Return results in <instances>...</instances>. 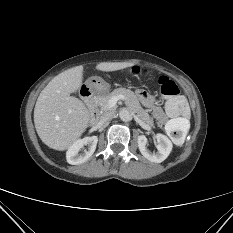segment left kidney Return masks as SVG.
I'll return each mask as SVG.
<instances>
[{
	"label": "left kidney",
	"mask_w": 233,
	"mask_h": 233,
	"mask_svg": "<svg viewBox=\"0 0 233 233\" xmlns=\"http://www.w3.org/2000/svg\"><path fill=\"white\" fill-rule=\"evenodd\" d=\"M155 139L157 141V152H150L147 145V138L144 135L138 136L137 142L141 154L151 162L161 163L163 162L170 154L172 150V142L169 138L163 134H156Z\"/></svg>",
	"instance_id": "1"
}]
</instances>
